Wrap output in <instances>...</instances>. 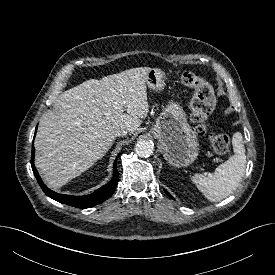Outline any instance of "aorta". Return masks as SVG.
<instances>
[{"mask_svg":"<svg viewBox=\"0 0 275 275\" xmlns=\"http://www.w3.org/2000/svg\"><path fill=\"white\" fill-rule=\"evenodd\" d=\"M134 149L138 156L149 157L154 152V144L150 140H139Z\"/></svg>","mask_w":275,"mask_h":275,"instance_id":"obj_1","label":"aorta"}]
</instances>
